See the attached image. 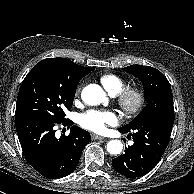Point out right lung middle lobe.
Here are the masks:
<instances>
[{
	"label": "right lung middle lobe",
	"mask_w": 194,
	"mask_h": 194,
	"mask_svg": "<svg viewBox=\"0 0 194 194\" xmlns=\"http://www.w3.org/2000/svg\"><path fill=\"white\" fill-rule=\"evenodd\" d=\"M79 81L69 76L55 61H40L21 84L15 120L39 116L64 121V110L72 107Z\"/></svg>",
	"instance_id": "dd1d6c3e"
}]
</instances>
